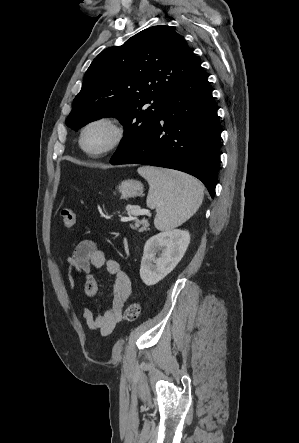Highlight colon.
<instances>
[{"mask_svg": "<svg viewBox=\"0 0 299 443\" xmlns=\"http://www.w3.org/2000/svg\"><path fill=\"white\" fill-rule=\"evenodd\" d=\"M60 215L62 219V223L66 228H73L76 224V213L69 206H63L60 210ZM140 304L138 302L130 303L124 313V318L128 322H133L138 319L140 315Z\"/></svg>", "mask_w": 299, "mask_h": 443, "instance_id": "1", "label": "colon"}]
</instances>
